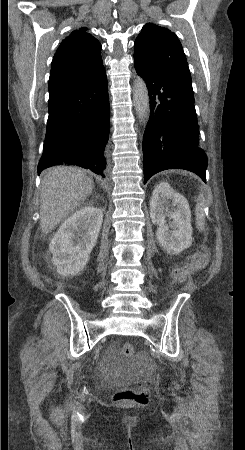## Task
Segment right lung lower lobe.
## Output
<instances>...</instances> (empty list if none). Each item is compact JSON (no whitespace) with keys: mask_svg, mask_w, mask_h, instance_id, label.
I'll return each mask as SVG.
<instances>
[{"mask_svg":"<svg viewBox=\"0 0 245 450\" xmlns=\"http://www.w3.org/2000/svg\"><path fill=\"white\" fill-rule=\"evenodd\" d=\"M48 106L38 174L52 165H77L105 178L110 116L105 69Z\"/></svg>","mask_w":245,"mask_h":450,"instance_id":"1","label":"right lung lower lobe"}]
</instances>
